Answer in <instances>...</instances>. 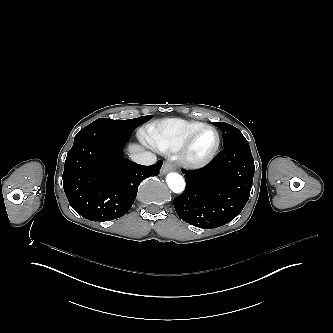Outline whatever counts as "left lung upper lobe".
Wrapping results in <instances>:
<instances>
[{
    "instance_id": "left-lung-upper-lobe-1",
    "label": "left lung upper lobe",
    "mask_w": 333,
    "mask_h": 333,
    "mask_svg": "<svg viewBox=\"0 0 333 333\" xmlns=\"http://www.w3.org/2000/svg\"><path fill=\"white\" fill-rule=\"evenodd\" d=\"M213 125L220 128L223 134L224 147L237 141L246 140L242 133L230 124H227L225 122H213Z\"/></svg>"
}]
</instances>
